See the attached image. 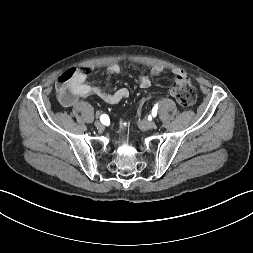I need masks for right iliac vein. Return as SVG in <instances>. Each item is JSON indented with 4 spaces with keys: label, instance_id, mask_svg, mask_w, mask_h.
Listing matches in <instances>:
<instances>
[{
    "label": "right iliac vein",
    "instance_id": "right-iliac-vein-1",
    "mask_svg": "<svg viewBox=\"0 0 253 253\" xmlns=\"http://www.w3.org/2000/svg\"><path fill=\"white\" fill-rule=\"evenodd\" d=\"M94 125L98 129H102L104 127V125L100 121H95Z\"/></svg>",
    "mask_w": 253,
    "mask_h": 253
}]
</instances>
